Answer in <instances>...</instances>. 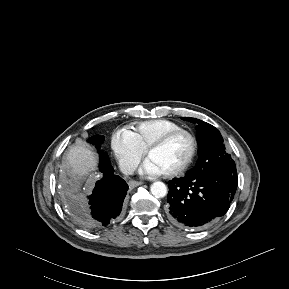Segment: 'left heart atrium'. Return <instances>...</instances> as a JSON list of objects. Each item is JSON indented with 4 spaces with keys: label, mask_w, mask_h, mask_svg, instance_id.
<instances>
[{
    "label": "left heart atrium",
    "mask_w": 289,
    "mask_h": 289,
    "mask_svg": "<svg viewBox=\"0 0 289 289\" xmlns=\"http://www.w3.org/2000/svg\"><path fill=\"white\" fill-rule=\"evenodd\" d=\"M142 172L146 175L150 176H158L162 175V171L158 168V166L153 163L150 159H147L143 166H142Z\"/></svg>",
    "instance_id": "left-heart-atrium-1"
}]
</instances>
